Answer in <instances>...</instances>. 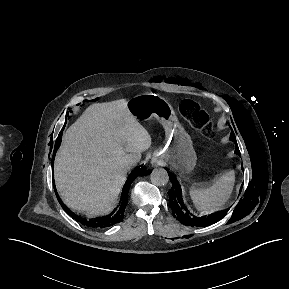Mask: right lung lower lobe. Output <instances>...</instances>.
I'll return each instance as SVG.
<instances>
[{"instance_id": "1", "label": "right lung lower lobe", "mask_w": 289, "mask_h": 289, "mask_svg": "<svg viewBox=\"0 0 289 289\" xmlns=\"http://www.w3.org/2000/svg\"><path fill=\"white\" fill-rule=\"evenodd\" d=\"M60 141L61 140L58 137V139L56 140V143H55L54 153H53V157H52V164L54 162L56 151L59 148ZM145 173H147V172L144 171L140 167L135 168L131 172V174L127 178L125 185L123 187V190H122L120 206L117 207L116 209H114L109 215H106L103 217H99V218L91 219V220L79 217V216L75 215L69 208H67L64 205V203L61 201V199L58 196L57 191H56L57 199H58L59 203L61 204L62 208L64 209V211L67 214H69L70 216H72L74 219H76L77 221L82 223L83 225H86L89 227H96V228L97 227H100V228L109 227V226H112V225H114L118 222H121L123 220L124 210H125V207L127 205V196H128V192H129V187L136 177H138L140 175H144Z\"/></svg>"}]
</instances>
